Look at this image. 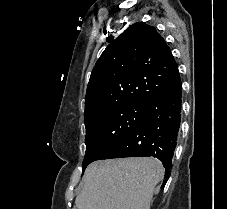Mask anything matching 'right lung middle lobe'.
Returning <instances> with one entry per match:
<instances>
[{
  "label": "right lung middle lobe",
  "instance_id": "1",
  "mask_svg": "<svg viewBox=\"0 0 227 209\" xmlns=\"http://www.w3.org/2000/svg\"><path fill=\"white\" fill-rule=\"evenodd\" d=\"M103 110L85 120L86 153L82 170L93 161L100 160L142 119L146 103L107 98L102 100Z\"/></svg>",
  "mask_w": 227,
  "mask_h": 209
}]
</instances>
